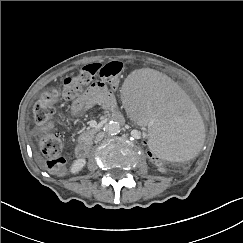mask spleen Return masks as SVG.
I'll return each instance as SVG.
<instances>
[{"mask_svg": "<svg viewBox=\"0 0 243 243\" xmlns=\"http://www.w3.org/2000/svg\"><path fill=\"white\" fill-rule=\"evenodd\" d=\"M123 94L133 114L151 122L148 138L156 153L178 161L199 152L203 123L195 115L190 97L174 79L153 70H139L128 77Z\"/></svg>", "mask_w": 243, "mask_h": 243, "instance_id": "1", "label": "spleen"}]
</instances>
